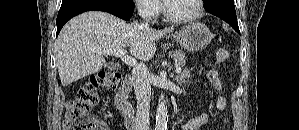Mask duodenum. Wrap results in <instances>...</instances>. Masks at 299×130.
<instances>
[{
    "label": "duodenum",
    "mask_w": 299,
    "mask_h": 130,
    "mask_svg": "<svg viewBox=\"0 0 299 130\" xmlns=\"http://www.w3.org/2000/svg\"><path fill=\"white\" fill-rule=\"evenodd\" d=\"M132 88V81L129 75L125 77L124 83L117 92L114 102L117 110L125 119L128 130H136V118L133 107L129 101V94Z\"/></svg>",
    "instance_id": "obj_1"
}]
</instances>
